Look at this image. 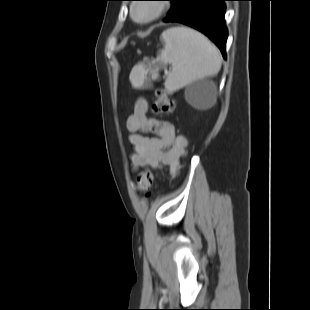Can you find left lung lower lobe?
<instances>
[{"instance_id":"obj_1","label":"left lung lower lobe","mask_w":310,"mask_h":310,"mask_svg":"<svg viewBox=\"0 0 310 310\" xmlns=\"http://www.w3.org/2000/svg\"><path fill=\"white\" fill-rule=\"evenodd\" d=\"M229 0H186L182 10L171 21L190 26L209 37L225 58L228 32L225 26V4Z\"/></svg>"}]
</instances>
